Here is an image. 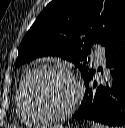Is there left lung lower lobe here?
<instances>
[{"label":"left lung lower lobe","instance_id":"0a47b994","mask_svg":"<svg viewBox=\"0 0 125 128\" xmlns=\"http://www.w3.org/2000/svg\"><path fill=\"white\" fill-rule=\"evenodd\" d=\"M106 66L99 79L95 70L83 76L86 90L73 120H94L104 125L125 128V26L106 45Z\"/></svg>","mask_w":125,"mask_h":128}]
</instances>
